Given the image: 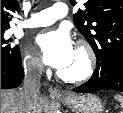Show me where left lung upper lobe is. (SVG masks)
<instances>
[{
    "label": "left lung upper lobe",
    "mask_w": 123,
    "mask_h": 113,
    "mask_svg": "<svg viewBox=\"0 0 123 113\" xmlns=\"http://www.w3.org/2000/svg\"><path fill=\"white\" fill-rule=\"evenodd\" d=\"M84 6L74 14V24L91 45L97 67L106 70L123 57V0H86Z\"/></svg>",
    "instance_id": "left-lung-upper-lobe-1"
}]
</instances>
